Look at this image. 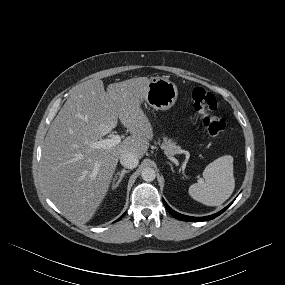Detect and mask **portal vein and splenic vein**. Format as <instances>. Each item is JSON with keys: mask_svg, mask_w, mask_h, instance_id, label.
Listing matches in <instances>:
<instances>
[{"mask_svg": "<svg viewBox=\"0 0 285 285\" xmlns=\"http://www.w3.org/2000/svg\"><path fill=\"white\" fill-rule=\"evenodd\" d=\"M121 142V136L116 134L111 139H104L90 144L91 148L94 149H107Z\"/></svg>", "mask_w": 285, "mask_h": 285, "instance_id": "portal-vein-and-splenic-vein-1", "label": "portal vein and splenic vein"}]
</instances>
